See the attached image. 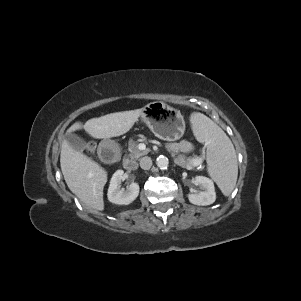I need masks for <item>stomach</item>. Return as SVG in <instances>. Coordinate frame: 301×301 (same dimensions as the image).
Here are the masks:
<instances>
[{
  "instance_id": "obj_1",
  "label": "stomach",
  "mask_w": 301,
  "mask_h": 301,
  "mask_svg": "<svg viewBox=\"0 0 301 301\" xmlns=\"http://www.w3.org/2000/svg\"><path fill=\"white\" fill-rule=\"evenodd\" d=\"M142 119L153 134L166 141L180 139L185 132L181 112L163 102H152L142 109Z\"/></svg>"
}]
</instances>
